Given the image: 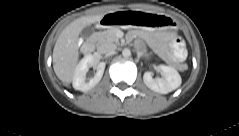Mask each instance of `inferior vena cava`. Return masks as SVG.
I'll list each match as a JSON object with an SVG mask.
<instances>
[{
	"instance_id": "602c4592",
	"label": "inferior vena cava",
	"mask_w": 239,
	"mask_h": 136,
	"mask_svg": "<svg viewBox=\"0 0 239 136\" xmlns=\"http://www.w3.org/2000/svg\"><path fill=\"white\" fill-rule=\"evenodd\" d=\"M117 46L113 43H102L98 47V52L101 54L112 53L116 50Z\"/></svg>"
}]
</instances>
